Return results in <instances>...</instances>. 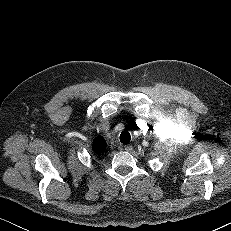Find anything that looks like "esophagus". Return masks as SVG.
Here are the masks:
<instances>
[{
  "mask_svg": "<svg viewBox=\"0 0 231 231\" xmlns=\"http://www.w3.org/2000/svg\"><path fill=\"white\" fill-rule=\"evenodd\" d=\"M133 149V146L131 144L125 145L124 150L127 152H130Z\"/></svg>",
  "mask_w": 231,
  "mask_h": 231,
  "instance_id": "obj_1",
  "label": "esophagus"
}]
</instances>
